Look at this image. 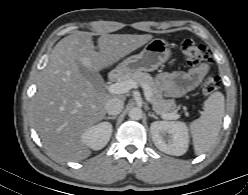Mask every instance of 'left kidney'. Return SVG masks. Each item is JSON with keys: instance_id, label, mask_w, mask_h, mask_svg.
I'll return each mask as SVG.
<instances>
[{"instance_id": "left-kidney-1", "label": "left kidney", "mask_w": 248, "mask_h": 195, "mask_svg": "<svg viewBox=\"0 0 248 195\" xmlns=\"http://www.w3.org/2000/svg\"><path fill=\"white\" fill-rule=\"evenodd\" d=\"M150 132L155 146L162 152L181 156L189 146L187 125L180 121H155L151 123Z\"/></svg>"}]
</instances>
